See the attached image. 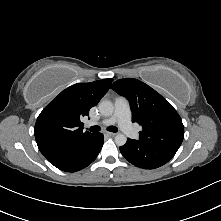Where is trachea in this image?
Listing matches in <instances>:
<instances>
[{
    "mask_svg": "<svg viewBox=\"0 0 221 221\" xmlns=\"http://www.w3.org/2000/svg\"><path fill=\"white\" fill-rule=\"evenodd\" d=\"M100 127L99 126H97V125H95V126H91L90 128H89V130L91 131V132H98V131H100ZM107 130L108 131H110V132H117L118 131V128L117 127H115V126H109L108 128H107Z\"/></svg>",
    "mask_w": 221,
    "mask_h": 221,
    "instance_id": "trachea-1",
    "label": "trachea"
}]
</instances>
